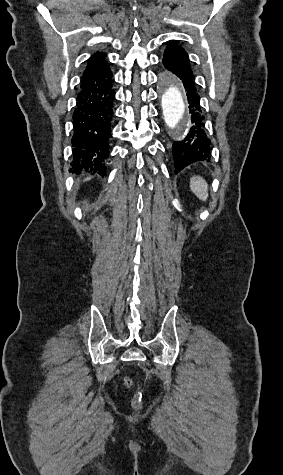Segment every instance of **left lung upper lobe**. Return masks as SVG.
I'll return each mask as SVG.
<instances>
[{
    "mask_svg": "<svg viewBox=\"0 0 283 475\" xmlns=\"http://www.w3.org/2000/svg\"><path fill=\"white\" fill-rule=\"evenodd\" d=\"M166 51H168L172 57L189 59L186 51L174 41L168 45Z\"/></svg>",
    "mask_w": 283,
    "mask_h": 475,
    "instance_id": "5c2ea615",
    "label": "left lung upper lobe"
}]
</instances>
